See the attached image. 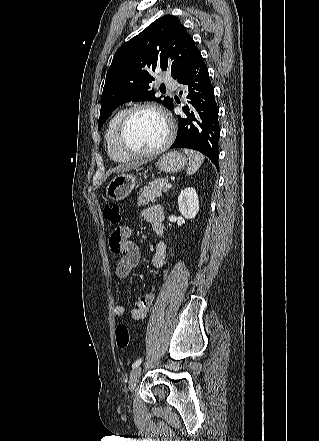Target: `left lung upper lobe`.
Wrapping results in <instances>:
<instances>
[{
  "label": "left lung upper lobe",
  "instance_id": "obj_1",
  "mask_svg": "<svg viewBox=\"0 0 319 441\" xmlns=\"http://www.w3.org/2000/svg\"><path fill=\"white\" fill-rule=\"evenodd\" d=\"M200 53L178 18L163 16L121 46L107 71L98 121L100 129L110 114L128 101H156L170 109L173 100L156 98L148 86L150 72L161 68L177 79Z\"/></svg>",
  "mask_w": 319,
  "mask_h": 441
}]
</instances>
